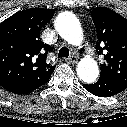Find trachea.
Listing matches in <instances>:
<instances>
[{
    "label": "trachea",
    "mask_w": 127,
    "mask_h": 127,
    "mask_svg": "<svg viewBox=\"0 0 127 127\" xmlns=\"http://www.w3.org/2000/svg\"><path fill=\"white\" fill-rule=\"evenodd\" d=\"M60 57H69V49L66 47H62L60 48L59 52H58V58Z\"/></svg>",
    "instance_id": "obj_1"
}]
</instances>
